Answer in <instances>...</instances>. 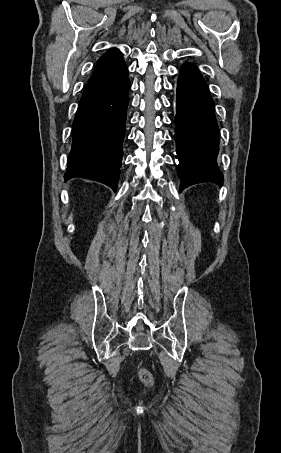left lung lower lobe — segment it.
Wrapping results in <instances>:
<instances>
[{
	"label": "left lung lower lobe",
	"mask_w": 281,
	"mask_h": 453,
	"mask_svg": "<svg viewBox=\"0 0 281 453\" xmlns=\"http://www.w3.org/2000/svg\"><path fill=\"white\" fill-rule=\"evenodd\" d=\"M179 74L175 141L180 191L202 182L222 185L217 164L219 129L208 86L193 64H184Z\"/></svg>",
	"instance_id": "obj_1"
}]
</instances>
